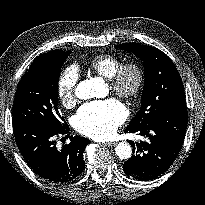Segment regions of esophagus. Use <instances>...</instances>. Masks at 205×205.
<instances>
[{
  "label": "esophagus",
  "instance_id": "1",
  "mask_svg": "<svg viewBox=\"0 0 205 205\" xmlns=\"http://www.w3.org/2000/svg\"><path fill=\"white\" fill-rule=\"evenodd\" d=\"M102 145L110 147L116 145V142H106V143H102Z\"/></svg>",
  "mask_w": 205,
  "mask_h": 205
}]
</instances>
